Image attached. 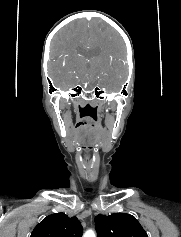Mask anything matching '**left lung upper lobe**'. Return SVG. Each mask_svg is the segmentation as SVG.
<instances>
[{"mask_svg":"<svg viewBox=\"0 0 181 237\" xmlns=\"http://www.w3.org/2000/svg\"><path fill=\"white\" fill-rule=\"evenodd\" d=\"M95 226L98 237H148L137 219L126 213L97 215Z\"/></svg>","mask_w":181,"mask_h":237,"instance_id":"1","label":"left lung upper lobe"}]
</instances>
